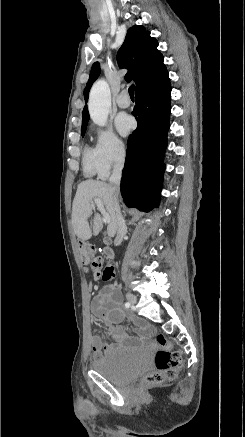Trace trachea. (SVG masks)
I'll list each match as a JSON object with an SVG mask.
<instances>
[{
	"label": "trachea",
	"instance_id": "obj_1",
	"mask_svg": "<svg viewBox=\"0 0 245 437\" xmlns=\"http://www.w3.org/2000/svg\"><path fill=\"white\" fill-rule=\"evenodd\" d=\"M134 89H135L134 85H131L128 89L131 98H134Z\"/></svg>",
	"mask_w": 245,
	"mask_h": 437
}]
</instances>
